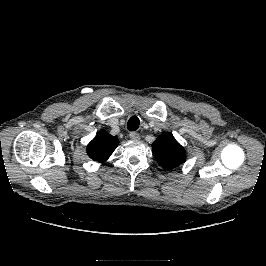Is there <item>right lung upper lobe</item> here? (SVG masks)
Wrapping results in <instances>:
<instances>
[{"mask_svg": "<svg viewBox=\"0 0 266 266\" xmlns=\"http://www.w3.org/2000/svg\"><path fill=\"white\" fill-rule=\"evenodd\" d=\"M118 144L117 137H113L106 131L101 130L88 144L87 154L94 161L103 163L110 157Z\"/></svg>", "mask_w": 266, "mask_h": 266, "instance_id": "right-lung-upper-lobe-1", "label": "right lung upper lobe"}]
</instances>
